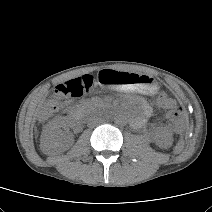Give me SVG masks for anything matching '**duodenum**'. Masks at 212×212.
<instances>
[{"label":"duodenum","mask_w":212,"mask_h":212,"mask_svg":"<svg viewBox=\"0 0 212 212\" xmlns=\"http://www.w3.org/2000/svg\"><path fill=\"white\" fill-rule=\"evenodd\" d=\"M70 115L75 120H80L84 116V109L80 106H75L71 109ZM142 120L140 118H136L133 120V124L140 125Z\"/></svg>","instance_id":"duodenum-1"}]
</instances>
